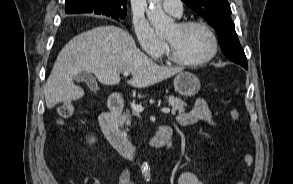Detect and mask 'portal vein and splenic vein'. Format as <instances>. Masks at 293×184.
<instances>
[{"label": "portal vein and splenic vein", "mask_w": 293, "mask_h": 184, "mask_svg": "<svg viewBox=\"0 0 293 184\" xmlns=\"http://www.w3.org/2000/svg\"><path fill=\"white\" fill-rule=\"evenodd\" d=\"M129 74H130L129 71H125V72L123 73V75H124L125 77H127ZM131 107H132V109H133L134 111H136V112H142L143 109H144L141 105H138V104H135V103H131ZM161 111H162L163 113H165V114L170 113V109H169V108H163Z\"/></svg>", "instance_id": "18ae733b"}]
</instances>
